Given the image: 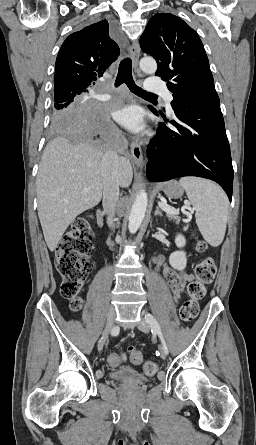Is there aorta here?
Instances as JSON below:
<instances>
[{
	"label": "aorta",
	"instance_id": "1",
	"mask_svg": "<svg viewBox=\"0 0 256 445\" xmlns=\"http://www.w3.org/2000/svg\"><path fill=\"white\" fill-rule=\"evenodd\" d=\"M139 66L143 72L146 74H154L157 70V63L153 58H142L139 62ZM148 197L146 191L140 190L136 199L133 203L130 215H129V223L128 229L131 234L137 232L141 223L144 219L146 209H147Z\"/></svg>",
	"mask_w": 256,
	"mask_h": 445
}]
</instances>
